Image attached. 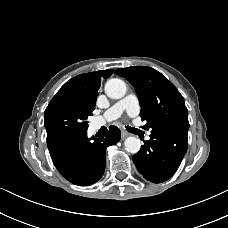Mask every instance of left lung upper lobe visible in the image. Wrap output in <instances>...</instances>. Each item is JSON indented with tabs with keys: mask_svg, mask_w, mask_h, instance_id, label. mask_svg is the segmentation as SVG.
<instances>
[{
	"mask_svg": "<svg viewBox=\"0 0 228 228\" xmlns=\"http://www.w3.org/2000/svg\"><path fill=\"white\" fill-rule=\"evenodd\" d=\"M115 73L134 86L142 107L140 116L147 122L145 127L187 134L189 122L184 98L164 75L147 66L119 68Z\"/></svg>",
	"mask_w": 228,
	"mask_h": 228,
	"instance_id": "1",
	"label": "left lung upper lobe"
}]
</instances>
